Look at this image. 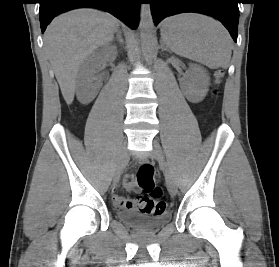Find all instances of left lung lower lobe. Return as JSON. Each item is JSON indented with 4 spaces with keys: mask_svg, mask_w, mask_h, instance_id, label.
<instances>
[{
    "mask_svg": "<svg viewBox=\"0 0 279 267\" xmlns=\"http://www.w3.org/2000/svg\"><path fill=\"white\" fill-rule=\"evenodd\" d=\"M149 3L155 25L170 15L198 12L217 18L237 41L238 0H150Z\"/></svg>",
    "mask_w": 279,
    "mask_h": 267,
    "instance_id": "1",
    "label": "left lung lower lobe"
}]
</instances>
